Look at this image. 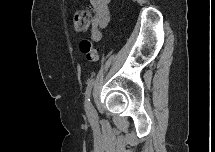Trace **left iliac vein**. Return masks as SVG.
Returning <instances> with one entry per match:
<instances>
[{"label": "left iliac vein", "instance_id": "obj_1", "mask_svg": "<svg viewBox=\"0 0 215 152\" xmlns=\"http://www.w3.org/2000/svg\"><path fill=\"white\" fill-rule=\"evenodd\" d=\"M89 116L92 117V118H95L96 116V113L92 107V104H90V107H89V112H88Z\"/></svg>", "mask_w": 215, "mask_h": 152}]
</instances>
